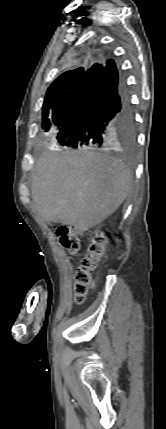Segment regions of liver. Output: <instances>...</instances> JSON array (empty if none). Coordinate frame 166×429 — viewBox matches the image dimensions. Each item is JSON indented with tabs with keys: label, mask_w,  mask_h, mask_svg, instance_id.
Returning <instances> with one entry per match:
<instances>
[{
	"label": "liver",
	"mask_w": 166,
	"mask_h": 429,
	"mask_svg": "<svg viewBox=\"0 0 166 429\" xmlns=\"http://www.w3.org/2000/svg\"><path fill=\"white\" fill-rule=\"evenodd\" d=\"M131 184L128 167L108 154L45 152L34 167L31 195L34 208L45 221L85 232L119 208Z\"/></svg>",
	"instance_id": "1"
}]
</instances>
